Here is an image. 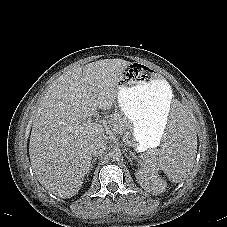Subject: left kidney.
<instances>
[{
  "label": "left kidney",
  "instance_id": "1",
  "mask_svg": "<svg viewBox=\"0 0 227 227\" xmlns=\"http://www.w3.org/2000/svg\"><path fill=\"white\" fill-rule=\"evenodd\" d=\"M135 176L139 185L153 195L161 194L166 190L167 184L165 180L157 174H150L144 170H138Z\"/></svg>",
  "mask_w": 227,
  "mask_h": 227
}]
</instances>
